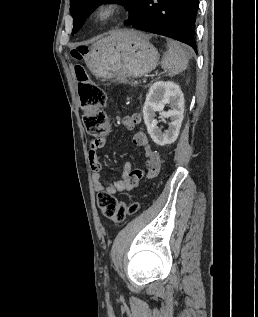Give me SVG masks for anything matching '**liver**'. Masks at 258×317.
Instances as JSON below:
<instances>
[{
	"label": "liver",
	"instance_id": "6515ba94",
	"mask_svg": "<svg viewBox=\"0 0 258 317\" xmlns=\"http://www.w3.org/2000/svg\"><path fill=\"white\" fill-rule=\"evenodd\" d=\"M122 34H124V30H113L110 36H104V38H100V40H97V42H101V40H108V38H120Z\"/></svg>",
	"mask_w": 258,
	"mask_h": 317
}]
</instances>
